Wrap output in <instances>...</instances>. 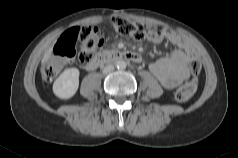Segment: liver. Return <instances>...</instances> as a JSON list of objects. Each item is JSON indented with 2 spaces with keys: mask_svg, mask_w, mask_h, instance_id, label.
<instances>
[{
  "mask_svg": "<svg viewBox=\"0 0 238 158\" xmlns=\"http://www.w3.org/2000/svg\"><path fill=\"white\" fill-rule=\"evenodd\" d=\"M51 55H52V47L49 48V49L46 51V53H45V55H44V57H43V59H42V63L44 64L46 61H48V60L50 59Z\"/></svg>",
  "mask_w": 238,
  "mask_h": 158,
  "instance_id": "obj_1",
  "label": "liver"
}]
</instances>
